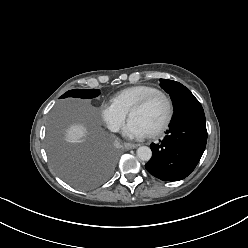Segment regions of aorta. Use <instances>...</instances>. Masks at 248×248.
I'll use <instances>...</instances> for the list:
<instances>
[{
    "label": "aorta",
    "mask_w": 248,
    "mask_h": 248,
    "mask_svg": "<svg viewBox=\"0 0 248 248\" xmlns=\"http://www.w3.org/2000/svg\"><path fill=\"white\" fill-rule=\"evenodd\" d=\"M152 156V151L147 146H141L137 149V157L142 161H149Z\"/></svg>",
    "instance_id": "762f6f07"
}]
</instances>
